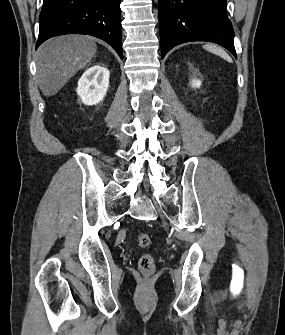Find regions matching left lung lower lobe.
I'll return each instance as SVG.
<instances>
[{
    "label": "left lung lower lobe",
    "instance_id": "0a47b994",
    "mask_svg": "<svg viewBox=\"0 0 285 335\" xmlns=\"http://www.w3.org/2000/svg\"><path fill=\"white\" fill-rule=\"evenodd\" d=\"M226 6V0H159L161 58L190 41L219 44L236 57Z\"/></svg>",
    "mask_w": 285,
    "mask_h": 335
}]
</instances>
